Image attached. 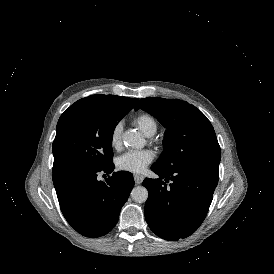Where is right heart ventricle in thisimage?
Here are the masks:
<instances>
[{
  "label": "right heart ventricle",
  "mask_w": 274,
  "mask_h": 274,
  "mask_svg": "<svg viewBox=\"0 0 274 274\" xmlns=\"http://www.w3.org/2000/svg\"><path fill=\"white\" fill-rule=\"evenodd\" d=\"M134 122L138 125L139 129L146 135L149 132L156 130L157 125L155 120L147 115L143 114L134 119Z\"/></svg>",
  "instance_id": "right-heart-ventricle-1"
}]
</instances>
